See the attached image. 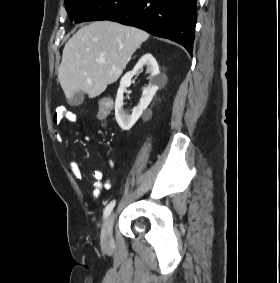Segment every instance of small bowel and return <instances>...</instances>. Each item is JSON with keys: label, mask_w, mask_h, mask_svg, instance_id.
<instances>
[{"label": "small bowel", "mask_w": 280, "mask_h": 283, "mask_svg": "<svg viewBox=\"0 0 280 283\" xmlns=\"http://www.w3.org/2000/svg\"><path fill=\"white\" fill-rule=\"evenodd\" d=\"M53 120H54L55 124H60L64 121L74 122L76 120V114L74 112H72L71 110L65 108V107H59V108H57V110L54 113ZM74 135L80 136L81 132L79 130H75ZM54 136H55V139L59 143L63 142V135H62L61 132L55 131ZM83 140L87 143L91 141V139L88 135H84ZM69 167H70V171H71V173L73 174L74 177H76V178L82 177L81 167L76 160H73V159L70 160ZM103 176L104 175H103V172L101 170H95L89 178V182L93 187L94 197H97L104 188L110 187L109 181H107L105 183L102 181Z\"/></svg>", "instance_id": "1"}]
</instances>
